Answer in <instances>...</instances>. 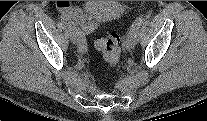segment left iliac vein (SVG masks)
Returning <instances> with one entry per match:
<instances>
[{"label":"left iliac vein","mask_w":207,"mask_h":121,"mask_svg":"<svg viewBox=\"0 0 207 121\" xmlns=\"http://www.w3.org/2000/svg\"><path fill=\"white\" fill-rule=\"evenodd\" d=\"M137 41H138V32L134 36H129L125 40L124 46L127 49H132L136 45Z\"/></svg>","instance_id":"4c4485c4"}]
</instances>
